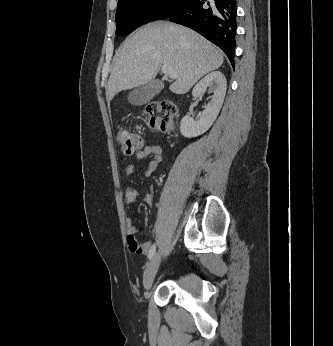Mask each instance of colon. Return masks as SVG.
Instances as JSON below:
<instances>
[{"instance_id":"obj_1","label":"colon","mask_w":333,"mask_h":346,"mask_svg":"<svg viewBox=\"0 0 333 346\" xmlns=\"http://www.w3.org/2000/svg\"><path fill=\"white\" fill-rule=\"evenodd\" d=\"M176 113L175 103L167 100L150 104L145 110L150 128L160 132H169L172 129ZM117 141L125 155H132L143 146L142 136L128 129L118 132Z\"/></svg>"}]
</instances>
